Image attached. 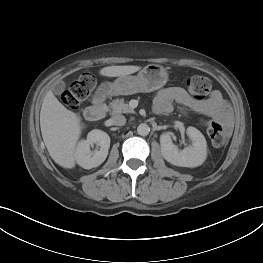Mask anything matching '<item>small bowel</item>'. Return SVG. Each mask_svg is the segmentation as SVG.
<instances>
[{"instance_id": "obj_1", "label": "small bowel", "mask_w": 263, "mask_h": 263, "mask_svg": "<svg viewBox=\"0 0 263 263\" xmlns=\"http://www.w3.org/2000/svg\"><path fill=\"white\" fill-rule=\"evenodd\" d=\"M174 104L187 107L197 113L219 118L228 122L229 107L222 94L214 90L209 97L199 99L192 97L181 87H167L159 90L154 97V109L165 114L173 111Z\"/></svg>"}]
</instances>
